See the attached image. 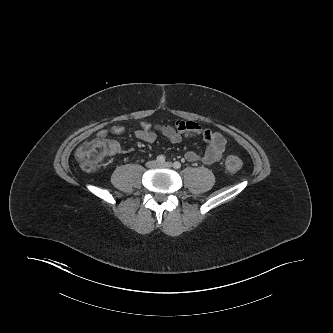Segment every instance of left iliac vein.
<instances>
[{"mask_svg":"<svg viewBox=\"0 0 333 333\" xmlns=\"http://www.w3.org/2000/svg\"><path fill=\"white\" fill-rule=\"evenodd\" d=\"M159 166L170 168L172 166V164L170 162H166L163 164H159Z\"/></svg>","mask_w":333,"mask_h":333,"instance_id":"1","label":"left iliac vein"}]
</instances>
